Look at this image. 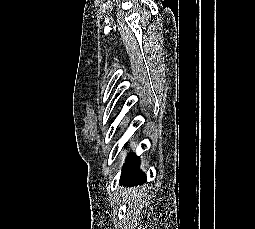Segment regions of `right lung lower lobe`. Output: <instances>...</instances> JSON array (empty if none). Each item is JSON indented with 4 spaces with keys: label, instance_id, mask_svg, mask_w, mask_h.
I'll use <instances>...</instances> for the list:
<instances>
[{
    "label": "right lung lower lobe",
    "instance_id": "98d812e1",
    "mask_svg": "<svg viewBox=\"0 0 255 229\" xmlns=\"http://www.w3.org/2000/svg\"><path fill=\"white\" fill-rule=\"evenodd\" d=\"M146 182V177L139 173L138 164H131L128 172L122 173L120 177L121 185H142Z\"/></svg>",
    "mask_w": 255,
    "mask_h": 229
}]
</instances>
